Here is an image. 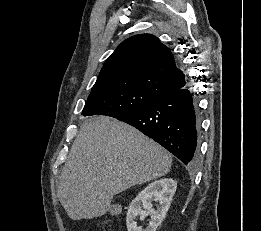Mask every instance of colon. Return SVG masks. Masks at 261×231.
<instances>
[{"instance_id":"5ec220e1","label":"colon","mask_w":261,"mask_h":231,"mask_svg":"<svg viewBox=\"0 0 261 231\" xmlns=\"http://www.w3.org/2000/svg\"><path fill=\"white\" fill-rule=\"evenodd\" d=\"M119 208L117 205H112L110 206L109 208L106 209L105 213L108 214V215H117L119 214Z\"/></svg>"}]
</instances>
